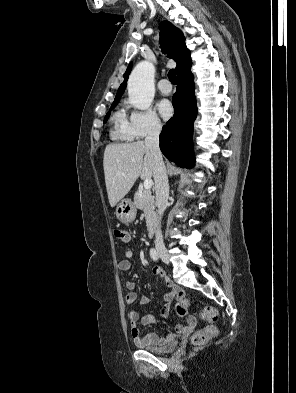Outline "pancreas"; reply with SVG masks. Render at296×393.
<instances>
[{
    "label": "pancreas",
    "mask_w": 296,
    "mask_h": 393,
    "mask_svg": "<svg viewBox=\"0 0 296 393\" xmlns=\"http://www.w3.org/2000/svg\"><path fill=\"white\" fill-rule=\"evenodd\" d=\"M134 205L144 212L146 225L150 230L156 221L155 202L151 191L138 190L134 195Z\"/></svg>",
    "instance_id": "pancreas-1"
}]
</instances>
